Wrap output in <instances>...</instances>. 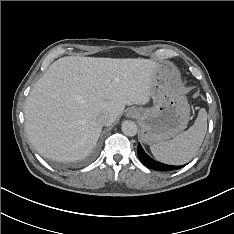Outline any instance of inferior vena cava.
<instances>
[{
    "instance_id": "inferior-vena-cava-1",
    "label": "inferior vena cava",
    "mask_w": 234,
    "mask_h": 234,
    "mask_svg": "<svg viewBox=\"0 0 234 234\" xmlns=\"http://www.w3.org/2000/svg\"><path fill=\"white\" fill-rule=\"evenodd\" d=\"M111 121H112V118L108 113H103L98 117V122L103 126L109 125Z\"/></svg>"
}]
</instances>
